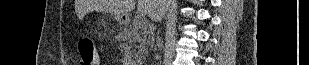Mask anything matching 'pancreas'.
<instances>
[{"label": "pancreas", "instance_id": "obj_1", "mask_svg": "<svg viewBox=\"0 0 309 65\" xmlns=\"http://www.w3.org/2000/svg\"><path fill=\"white\" fill-rule=\"evenodd\" d=\"M141 20L135 19L132 24L128 27V36L132 41L133 54L134 56H142L148 51V46L152 43L150 33L147 28L140 26ZM138 28L140 30L138 31Z\"/></svg>", "mask_w": 309, "mask_h": 65}]
</instances>
